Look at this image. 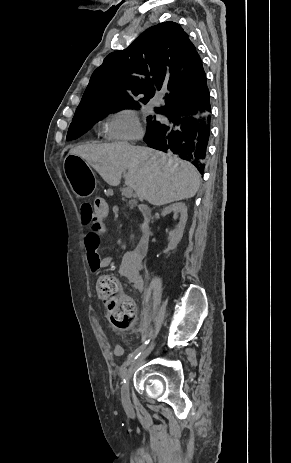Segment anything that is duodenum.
<instances>
[{
	"instance_id": "410a0bca",
	"label": "duodenum",
	"mask_w": 291,
	"mask_h": 463,
	"mask_svg": "<svg viewBox=\"0 0 291 463\" xmlns=\"http://www.w3.org/2000/svg\"><path fill=\"white\" fill-rule=\"evenodd\" d=\"M138 209L141 211L145 221L147 222L150 221L152 212L148 210V205L146 203H141L138 206ZM150 237H151L150 231L146 229L143 233V236L140 238L135 248V252L139 256L141 257L146 256L148 252V248H149Z\"/></svg>"
}]
</instances>
